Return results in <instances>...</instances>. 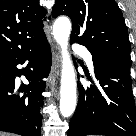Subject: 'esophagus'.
Masks as SVG:
<instances>
[{
    "label": "esophagus",
    "instance_id": "obj_1",
    "mask_svg": "<svg viewBox=\"0 0 136 136\" xmlns=\"http://www.w3.org/2000/svg\"><path fill=\"white\" fill-rule=\"evenodd\" d=\"M59 48L56 46L54 49V65L53 70L51 71V76L58 77L59 75V67H60V54Z\"/></svg>",
    "mask_w": 136,
    "mask_h": 136
}]
</instances>
